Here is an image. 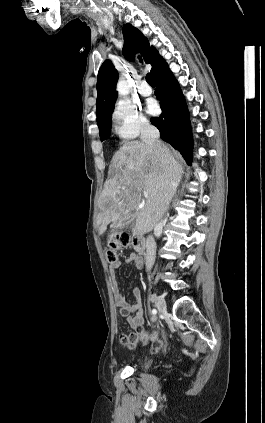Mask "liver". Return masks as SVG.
<instances>
[{
    "instance_id": "liver-1",
    "label": "liver",
    "mask_w": 265,
    "mask_h": 423,
    "mask_svg": "<svg viewBox=\"0 0 265 423\" xmlns=\"http://www.w3.org/2000/svg\"><path fill=\"white\" fill-rule=\"evenodd\" d=\"M161 144L164 150L131 141L114 154L110 176L99 200V234H103L110 223L131 212H135V227L142 234L153 230L163 216L181 179L182 166L170 148ZM143 192L149 196L139 209Z\"/></svg>"
}]
</instances>
